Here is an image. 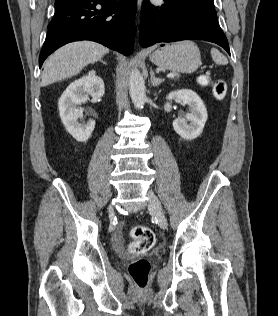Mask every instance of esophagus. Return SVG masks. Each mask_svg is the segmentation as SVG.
<instances>
[{"mask_svg": "<svg viewBox=\"0 0 278 316\" xmlns=\"http://www.w3.org/2000/svg\"><path fill=\"white\" fill-rule=\"evenodd\" d=\"M142 3H143V0H137V8H138V12H140V10H141Z\"/></svg>", "mask_w": 278, "mask_h": 316, "instance_id": "1", "label": "esophagus"}]
</instances>
